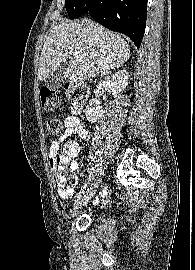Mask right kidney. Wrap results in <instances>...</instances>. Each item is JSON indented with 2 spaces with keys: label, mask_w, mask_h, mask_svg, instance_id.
<instances>
[{
  "label": "right kidney",
  "mask_w": 195,
  "mask_h": 270,
  "mask_svg": "<svg viewBox=\"0 0 195 270\" xmlns=\"http://www.w3.org/2000/svg\"><path fill=\"white\" fill-rule=\"evenodd\" d=\"M129 80V73L126 70H120L113 74L110 78L101 80L98 85V90L109 88L114 97L120 96L121 92L126 88ZM102 106L97 99H91L85 110L86 118L89 122H96L102 115Z\"/></svg>",
  "instance_id": "right-kidney-1"
}]
</instances>
